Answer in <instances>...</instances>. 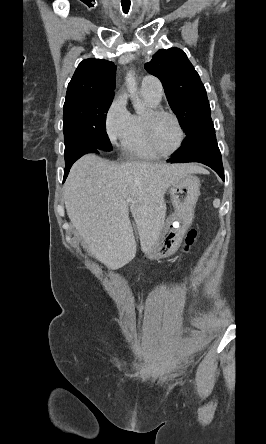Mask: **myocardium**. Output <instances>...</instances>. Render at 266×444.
Instances as JSON below:
<instances>
[{
	"label": "myocardium",
	"instance_id": "obj_1",
	"mask_svg": "<svg viewBox=\"0 0 266 444\" xmlns=\"http://www.w3.org/2000/svg\"><path fill=\"white\" fill-rule=\"evenodd\" d=\"M161 116L171 117L175 121L178 131H179V141H178L177 146L173 150L168 151V152L163 151L158 147V145L154 139V135H153L154 122L156 119H158ZM144 131H145V136H146L147 142H148L149 146L151 147V149L161 156H169V155L175 154L176 152H178L182 148V146L185 142V131H184V128L182 126L180 119L178 118V116L176 114H174L171 111L165 110V109L152 108L145 115V117H144Z\"/></svg>",
	"mask_w": 266,
	"mask_h": 444
}]
</instances>
